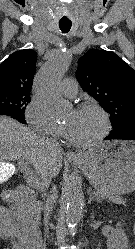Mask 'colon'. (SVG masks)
<instances>
[{
  "instance_id": "1",
  "label": "colon",
  "mask_w": 135,
  "mask_h": 249,
  "mask_svg": "<svg viewBox=\"0 0 135 249\" xmlns=\"http://www.w3.org/2000/svg\"><path fill=\"white\" fill-rule=\"evenodd\" d=\"M133 233L135 235V224L133 225Z\"/></svg>"
}]
</instances>
